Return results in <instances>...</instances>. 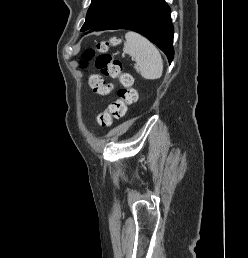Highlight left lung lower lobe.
<instances>
[{"mask_svg":"<svg viewBox=\"0 0 248 258\" xmlns=\"http://www.w3.org/2000/svg\"><path fill=\"white\" fill-rule=\"evenodd\" d=\"M128 29L138 32L157 45L169 63L174 57L173 25L165 0H128L114 15L92 31Z\"/></svg>","mask_w":248,"mask_h":258,"instance_id":"obj_1","label":"left lung lower lobe"}]
</instances>
